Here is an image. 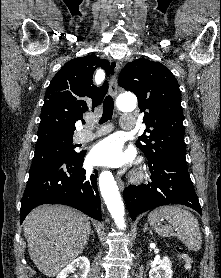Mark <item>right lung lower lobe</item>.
Returning <instances> with one entry per match:
<instances>
[{
  "label": "right lung lower lobe",
  "mask_w": 221,
  "mask_h": 278,
  "mask_svg": "<svg viewBox=\"0 0 221 278\" xmlns=\"http://www.w3.org/2000/svg\"><path fill=\"white\" fill-rule=\"evenodd\" d=\"M85 152L58 160L29 173L21 201L20 221L41 204H64L102 221L97 174L82 168Z\"/></svg>",
  "instance_id": "1"
}]
</instances>
